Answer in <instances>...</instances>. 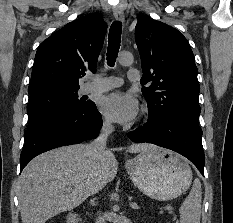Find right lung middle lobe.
I'll return each instance as SVG.
<instances>
[{
  "label": "right lung middle lobe",
  "mask_w": 233,
  "mask_h": 223,
  "mask_svg": "<svg viewBox=\"0 0 233 223\" xmlns=\"http://www.w3.org/2000/svg\"><path fill=\"white\" fill-rule=\"evenodd\" d=\"M75 88H50L30 94L27 108L28 128L34 125L80 110L92 101L79 98Z\"/></svg>",
  "instance_id": "obj_1"
}]
</instances>
